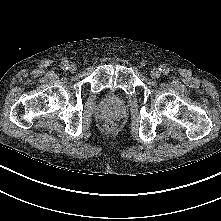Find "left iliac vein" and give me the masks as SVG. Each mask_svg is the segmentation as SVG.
<instances>
[{"label": "left iliac vein", "mask_w": 221, "mask_h": 221, "mask_svg": "<svg viewBox=\"0 0 221 221\" xmlns=\"http://www.w3.org/2000/svg\"><path fill=\"white\" fill-rule=\"evenodd\" d=\"M160 75H161V72H160V70H159L158 68H153V69L151 70L150 76H151L153 79L159 78Z\"/></svg>", "instance_id": "1"}]
</instances>
